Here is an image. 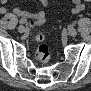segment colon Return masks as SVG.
<instances>
[{
    "mask_svg": "<svg viewBox=\"0 0 91 91\" xmlns=\"http://www.w3.org/2000/svg\"><path fill=\"white\" fill-rule=\"evenodd\" d=\"M45 16L43 18H34L31 19V23L39 24L44 21ZM36 44V59L40 62H47L51 57V51L49 46L45 43V36L43 34H37L33 39Z\"/></svg>",
    "mask_w": 91,
    "mask_h": 91,
    "instance_id": "5ec220e1",
    "label": "colon"
}]
</instances>
